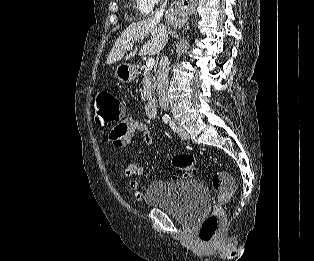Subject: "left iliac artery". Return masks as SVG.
<instances>
[{
    "label": "left iliac artery",
    "mask_w": 314,
    "mask_h": 261,
    "mask_svg": "<svg viewBox=\"0 0 314 261\" xmlns=\"http://www.w3.org/2000/svg\"><path fill=\"white\" fill-rule=\"evenodd\" d=\"M170 127L171 129L176 132V127H175V124L173 122L170 121Z\"/></svg>",
    "instance_id": "left-iliac-artery-1"
}]
</instances>
